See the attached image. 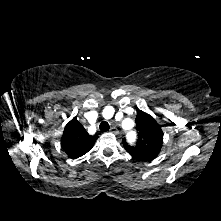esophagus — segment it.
I'll use <instances>...</instances> for the list:
<instances>
[{"mask_svg": "<svg viewBox=\"0 0 221 221\" xmlns=\"http://www.w3.org/2000/svg\"><path fill=\"white\" fill-rule=\"evenodd\" d=\"M110 132L113 133V134H115V135H118V134H119V131H118L117 128H115V127H112V128L110 129Z\"/></svg>", "mask_w": 221, "mask_h": 221, "instance_id": "obj_1", "label": "esophagus"}]
</instances>
